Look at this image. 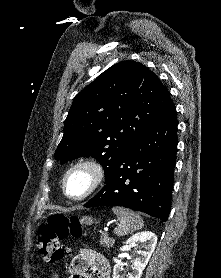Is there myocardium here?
<instances>
[{
	"label": "myocardium",
	"instance_id": "obj_1",
	"mask_svg": "<svg viewBox=\"0 0 221 278\" xmlns=\"http://www.w3.org/2000/svg\"><path fill=\"white\" fill-rule=\"evenodd\" d=\"M86 170L89 173V184L86 190L78 195V196H71L67 192V182L69 176L77 171V170ZM106 177V171L104 166L100 161H98L95 158L86 157L78 159L77 161L73 162L65 171L62 179V191L66 198H68L71 201H83L89 196H91L93 193H95L100 186L103 184Z\"/></svg>",
	"mask_w": 221,
	"mask_h": 278
}]
</instances>
